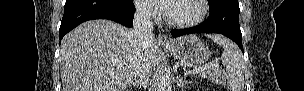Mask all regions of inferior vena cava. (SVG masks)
Returning a JSON list of instances; mask_svg holds the SVG:
<instances>
[{"label":"inferior vena cava","instance_id":"inferior-vena-cava-1","mask_svg":"<svg viewBox=\"0 0 304 91\" xmlns=\"http://www.w3.org/2000/svg\"><path fill=\"white\" fill-rule=\"evenodd\" d=\"M132 37L135 42L136 63L134 66V79L138 86L148 83L152 74V65L148 61L149 43L154 40L151 12L147 7L137 5L134 14Z\"/></svg>","mask_w":304,"mask_h":91}]
</instances>
